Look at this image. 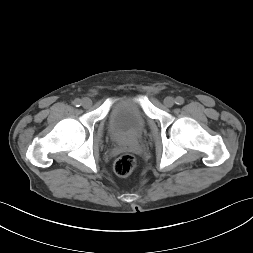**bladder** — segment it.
<instances>
[{"label":"bladder","instance_id":"bladder-1","mask_svg":"<svg viewBox=\"0 0 253 253\" xmlns=\"http://www.w3.org/2000/svg\"><path fill=\"white\" fill-rule=\"evenodd\" d=\"M146 128V118L138 102L123 96L112 104L108 116V130L117 141H128L140 136Z\"/></svg>","mask_w":253,"mask_h":253}]
</instances>
